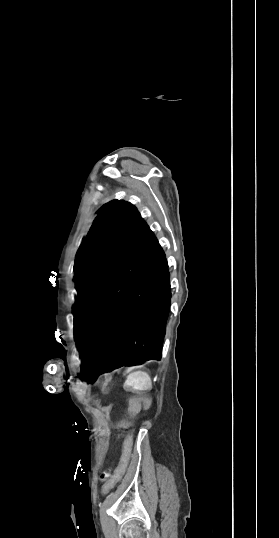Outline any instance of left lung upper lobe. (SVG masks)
Segmentation results:
<instances>
[{
	"mask_svg": "<svg viewBox=\"0 0 279 538\" xmlns=\"http://www.w3.org/2000/svg\"><path fill=\"white\" fill-rule=\"evenodd\" d=\"M100 213L76 254L75 325L151 232L137 209L128 202L113 200Z\"/></svg>",
	"mask_w": 279,
	"mask_h": 538,
	"instance_id": "1",
	"label": "left lung upper lobe"
}]
</instances>
